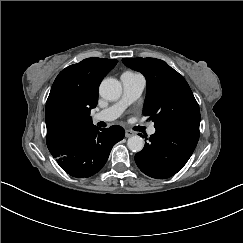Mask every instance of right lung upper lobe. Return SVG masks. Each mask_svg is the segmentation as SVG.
<instances>
[{
    "mask_svg": "<svg viewBox=\"0 0 243 243\" xmlns=\"http://www.w3.org/2000/svg\"><path fill=\"white\" fill-rule=\"evenodd\" d=\"M117 62L92 57L70 65L59 73L46 102L49 150L72 134L93 125L90 110L97 105L99 85Z\"/></svg>",
    "mask_w": 243,
    "mask_h": 243,
    "instance_id": "1",
    "label": "right lung upper lobe"
}]
</instances>
